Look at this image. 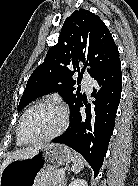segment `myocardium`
Masks as SVG:
<instances>
[{
  "label": "myocardium",
  "mask_w": 138,
  "mask_h": 186,
  "mask_svg": "<svg viewBox=\"0 0 138 186\" xmlns=\"http://www.w3.org/2000/svg\"><path fill=\"white\" fill-rule=\"evenodd\" d=\"M41 106H53V107L57 108L62 113V123L56 131H54L53 133H51L49 135H46V136H43L40 138H35V139H26L23 137L22 132H21L23 121L26 118V116L29 114V112H31L33 109H35L37 107H41ZM68 121H69V113H68V110L66 109L65 106H63L58 101H55L52 99L42 100V101H39V102L31 105L28 109H26L24 111V113L20 117V120H19V123L17 126V137L24 144H34V143H38V142L48 141V140H51V139L57 137L58 135H60L66 129V127L68 125Z\"/></svg>",
  "instance_id": "myocardium-1"
}]
</instances>
